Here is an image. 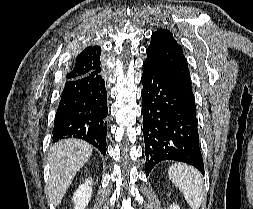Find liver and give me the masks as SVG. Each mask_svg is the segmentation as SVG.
I'll return each instance as SVG.
<instances>
[{
    "label": "liver",
    "mask_w": 253,
    "mask_h": 209,
    "mask_svg": "<svg viewBox=\"0 0 253 209\" xmlns=\"http://www.w3.org/2000/svg\"><path fill=\"white\" fill-rule=\"evenodd\" d=\"M93 147L79 139L61 140L54 144L49 154L48 196L58 206L76 173L87 162Z\"/></svg>",
    "instance_id": "liver-1"
}]
</instances>
